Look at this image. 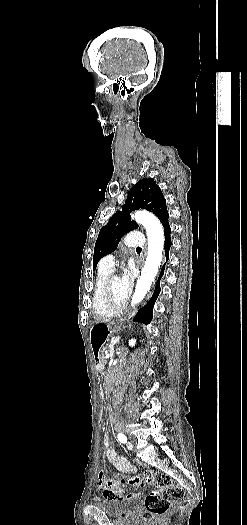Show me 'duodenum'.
Listing matches in <instances>:
<instances>
[{
    "label": "duodenum",
    "instance_id": "410a0bca",
    "mask_svg": "<svg viewBox=\"0 0 247 525\" xmlns=\"http://www.w3.org/2000/svg\"><path fill=\"white\" fill-rule=\"evenodd\" d=\"M97 369H98V370H100V369H101V366H100V364H97ZM100 393H101V395H102V396H104V392H103V391H101Z\"/></svg>",
    "mask_w": 247,
    "mask_h": 525
}]
</instances>
